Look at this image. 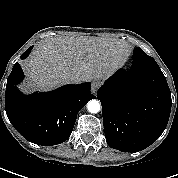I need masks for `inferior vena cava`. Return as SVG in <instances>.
<instances>
[{"instance_id":"inferior-vena-cava-1","label":"inferior vena cava","mask_w":178,"mask_h":178,"mask_svg":"<svg viewBox=\"0 0 178 178\" xmlns=\"http://www.w3.org/2000/svg\"><path fill=\"white\" fill-rule=\"evenodd\" d=\"M68 81L74 84H77L80 82V78L74 75H71L68 77Z\"/></svg>"}]
</instances>
